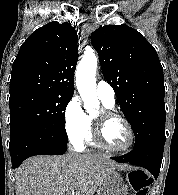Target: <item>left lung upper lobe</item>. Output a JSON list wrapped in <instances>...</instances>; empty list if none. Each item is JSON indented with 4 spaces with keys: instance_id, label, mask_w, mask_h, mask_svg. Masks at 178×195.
Returning <instances> with one entry per match:
<instances>
[{
    "instance_id": "left-lung-upper-lobe-1",
    "label": "left lung upper lobe",
    "mask_w": 178,
    "mask_h": 195,
    "mask_svg": "<svg viewBox=\"0 0 178 195\" xmlns=\"http://www.w3.org/2000/svg\"><path fill=\"white\" fill-rule=\"evenodd\" d=\"M104 78L131 124L135 146L165 139L164 75L154 47L127 25H107L91 34Z\"/></svg>"
}]
</instances>
